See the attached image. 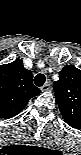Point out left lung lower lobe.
Returning a JSON list of instances; mask_svg holds the SVG:
<instances>
[{
	"label": "left lung lower lobe",
	"mask_w": 81,
	"mask_h": 155,
	"mask_svg": "<svg viewBox=\"0 0 81 155\" xmlns=\"http://www.w3.org/2000/svg\"><path fill=\"white\" fill-rule=\"evenodd\" d=\"M68 125H70L71 127L73 128H76V129H80L81 128V125L78 124V123H75V122H66Z\"/></svg>",
	"instance_id": "0a47b994"
}]
</instances>
